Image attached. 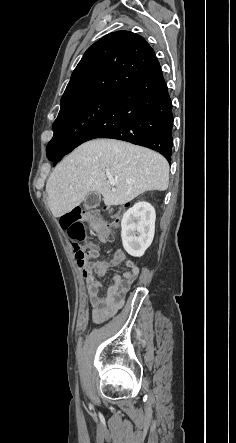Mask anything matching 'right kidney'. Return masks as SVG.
<instances>
[{"label": "right kidney", "mask_w": 236, "mask_h": 443, "mask_svg": "<svg viewBox=\"0 0 236 443\" xmlns=\"http://www.w3.org/2000/svg\"><path fill=\"white\" fill-rule=\"evenodd\" d=\"M155 219L154 207L143 201L125 212L121 221V238L128 254L140 257L145 253L154 238Z\"/></svg>", "instance_id": "obj_1"}]
</instances>
